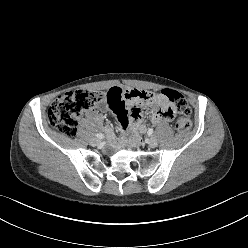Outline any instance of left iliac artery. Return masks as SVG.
<instances>
[{
	"label": "left iliac artery",
	"instance_id": "left-iliac-artery-1",
	"mask_svg": "<svg viewBox=\"0 0 248 248\" xmlns=\"http://www.w3.org/2000/svg\"><path fill=\"white\" fill-rule=\"evenodd\" d=\"M153 134V129H150L149 131H148V135H152Z\"/></svg>",
	"mask_w": 248,
	"mask_h": 248
}]
</instances>
